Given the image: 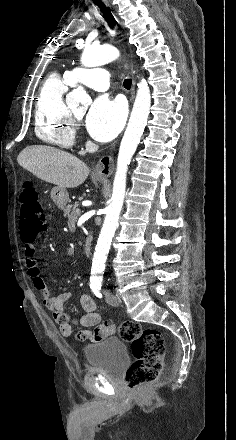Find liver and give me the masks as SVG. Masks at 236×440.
<instances>
[{
    "mask_svg": "<svg viewBox=\"0 0 236 440\" xmlns=\"http://www.w3.org/2000/svg\"><path fill=\"white\" fill-rule=\"evenodd\" d=\"M18 164L37 178L59 188H76L89 175V168L74 155L54 147L33 145L17 157Z\"/></svg>",
    "mask_w": 236,
    "mask_h": 440,
    "instance_id": "obj_1",
    "label": "liver"
}]
</instances>
